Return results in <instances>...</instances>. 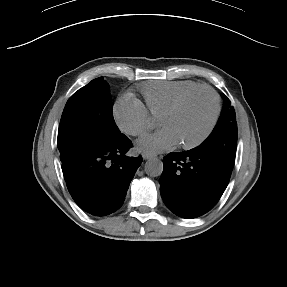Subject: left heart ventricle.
<instances>
[{
	"mask_svg": "<svg viewBox=\"0 0 287 287\" xmlns=\"http://www.w3.org/2000/svg\"><path fill=\"white\" fill-rule=\"evenodd\" d=\"M212 113V97L201 91L191 96L174 115L162 119L160 124L175 135L178 143H187L204 133Z\"/></svg>",
	"mask_w": 287,
	"mask_h": 287,
	"instance_id": "1",
	"label": "left heart ventricle"
}]
</instances>
